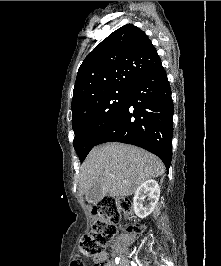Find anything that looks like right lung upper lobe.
Returning a JSON list of instances; mask_svg holds the SVG:
<instances>
[{
  "label": "right lung upper lobe",
  "instance_id": "obj_1",
  "mask_svg": "<svg viewBox=\"0 0 221 266\" xmlns=\"http://www.w3.org/2000/svg\"><path fill=\"white\" fill-rule=\"evenodd\" d=\"M161 60L144 31L126 24L90 52L81 64L73 90L72 116L85 101L102 91L131 87Z\"/></svg>",
  "mask_w": 221,
  "mask_h": 266
}]
</instances>
